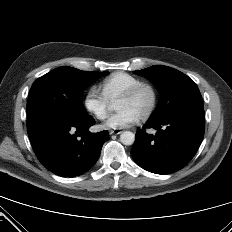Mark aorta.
I'll return each instance as SVG.
<instances>
[{
  "instance_id": "762f6f07",
  "label": "aorta",
  "mask_w": 232,
  "mask_h": 232,
  "mask_svg": "<svg viewBox=\"0 0 232 232\" xmlns=\"http://www.w3.org/2000/svg\"><path fill=\"white\" fill-rule=\"evenodd\" d=\"M120 141L124 145H127V146L132 145L135 141V135H134V133H132L130 131H125V132L121 133Z\"/></svg>"
}]
</instances>
